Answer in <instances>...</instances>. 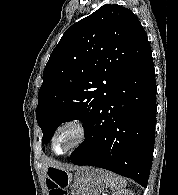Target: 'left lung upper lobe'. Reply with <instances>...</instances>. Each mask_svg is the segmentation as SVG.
Segmentation results:
<instances>
[{
	"label": "left lung upper lobe",
	"mask_w": 178,
	"mask_h": 195,
	"mask_svg": "<svg viewBox=\"0 0 178 195\" xmlns=\"http://www.w3.org/2000/svg\"><path fill=\"white\" fill-rule=\"evenodd\" d=\"M150 52L138 18L117 4H105L72 25L43 72L36 109L43 144L63 122L80 120L86 132L113 87Z\"/></svg>",
	"instance_id": "left-lung-upper-lobe-1"
}]
</instances>
